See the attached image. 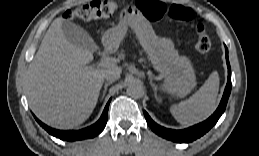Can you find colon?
I'll return each mask as SVG.
<instances>
[{"mask_svg":"<svg viewBox=\"0 0 259 156\" xmlns=\"http://www.w3.org/2000/svg\"><path fill=\"white\" fill-rule=\"evenodd\" d=\"M138 8L151 21H158L163 17L181 23H191L194 19L192 10L181 5L167 7L162 2L156 0H139ZM118 5L112 0H94L69 10L65 17L68 20H92L98 18H108L116 14ZM197 42L196 50L201 54H206L211 49V41L202 23H197L196 27Z\"/></svg>","mask_w":259,"mask_h":156,"instance_id":"obj_1","label":"colon"}]
</instances>
